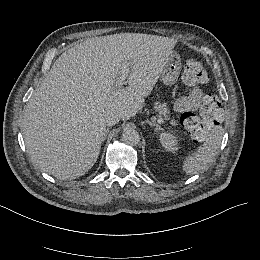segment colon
Returning a JSON list of instances; mask_svg holds the SVG:
<instances>
[{
    "instance_id": "colon-1",
    "label": "colon",
    "mask_w": 260,
    "mask_h": 260,
    "mask_svg": "<svg viewBox=\"0 0 260 260\" xmlns=\"http://www.w3.org/2000/svg\"><path fill=\"white\" fill-rule=\"evenodd\" d=\"M184 83L186 86L204 84L209 80V73L202 62L198 59H188L184 65ZM207 116L202 113L186 112L183 116V123L192 136L204 129L207 125Z\"/></svg>"
}]
</instances>
